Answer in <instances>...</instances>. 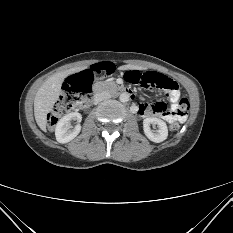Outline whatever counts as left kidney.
Here are the masks:
<instances>
[{"label": "left kidney", "instance_id": "5707ae66", "mask_svg": "<svg viewBox=\"0 0 233 233\" xmlns=\"http://www.w3.org/2000/svg\"><path fill=\"white\" fill-rule=\"evenodd\" d=\"M157 125V130L152 131L150 126ZM143 130L147 138L153 142L160 143L167 139L168 129L166 123L159 118H146L143 120Z\"/></svg>", "mask_w": 233, "mask_h": 233}]
</instances>
